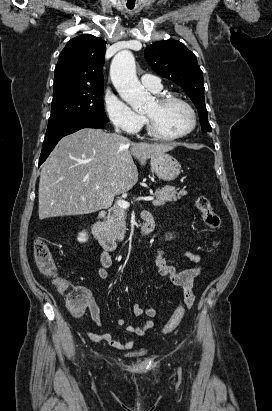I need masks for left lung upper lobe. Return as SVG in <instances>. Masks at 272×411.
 <instances>
[{"instance_id":"left-lung-upper-lobe-1","label":"left lung upper lobe","mask_w":272,"mask_h":411,"mask_svg":"<svg viewBox=\"0 0 272 411\" xmlns=\"http://www.w3.org/2000/svg\"><path fill=\"white\" fill-rule=\"evenodd\" d=\"M149 66L160 76L181 86L196 106L204 133L211 132L204 101L203 73L196 56L186 46L175 40H163L148 46L144 51Z\"/></svg>"}]
</instances>
